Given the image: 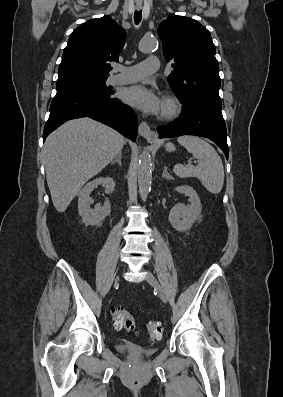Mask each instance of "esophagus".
Instances as JSON below:
<instances>
[{"label":"esophagus","instance_id":"34e87169","mask_svg":"<svg viewBox=\"0 0 283 397\" xmlns=\"http://www.w3.org/2000/svg\"><path fill=\"white\" fill-rule=\"evenodd\" d=\"M136 8L139 10L141 8V5H137ZM138 132L149 142H154L157 139V133L155 131H152L146 122H141L139 124Z\"/></svg>","mask_w":283,"mask_h":397}]
</instances>
